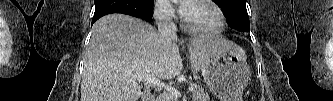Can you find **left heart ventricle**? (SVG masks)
<instances>
[{
    "mask_svg": "<svg viewBox=\"0 0 333 101\" xmlns=\"http://www.w3.org/2000/svg\"><path fill=\"white\" fill-rule=\"evenodd\" d=\"M183 13L188 25L199 32H212L219 24L213 8L202 2H187Z\"/></svg>",
    "mask_w": 333,
    "mask_h": 101,
    "instance_id": "b2bd125f",
    "label": "left heart ventricle"
}]
</instances>
